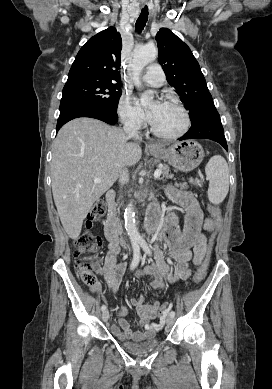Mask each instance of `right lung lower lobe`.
Wrapping results in <instances>:
<instances>
[{
	"instance_id": "obj_1",
	"label": "right lung lower lobe",
	"mask_w": 272,
	"mask_h": 389,
	"mask_svg": "<svg viewBox=\"0 0 272 389\" xmlns=\"http://www.w3.org/2000/svg\"><path fill=\"white\" fill-rule=\"evenodd\" d=\"M60 115L57 121V131L68 121L78 117H91L108 124L118 120L117 111H110L98 104L82 100H66L60 103Z\"/></svg>"
}]
</instances>
